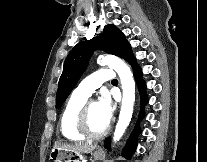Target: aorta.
<instances>
[{
  "mask_svg": "<svg viewBox=\"0 0 207 162\" xmlns=\"http://www.w3.org/2000/svg\"><path fill=\"white\" fill-rule=\"evenodd\" d=\"M97 63L101 66L108 65L111 69H114L121 80L123 99L119 120L113 136V142H117L123 136L133 114V105L135 101V82L133 74L123 60L113 55L99 56Z\"/></svg>",
  "mask_w": 207,
  "mask_h": 162,
  "instance_id": "762f6f07",
  "label": "aorta"
}]
</instances>
